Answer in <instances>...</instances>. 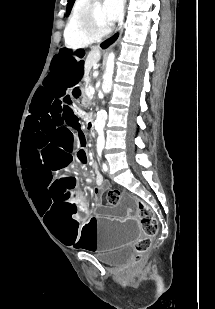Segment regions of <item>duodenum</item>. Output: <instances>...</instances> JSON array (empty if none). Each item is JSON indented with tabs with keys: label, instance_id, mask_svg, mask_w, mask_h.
Masks as SVG:
<instances>
[{
	"label": "duodenum",
	"instance_id": "duodenum-1",
	"mask_svg": "<svg viewBox=\"0 0 215 309\" xmlns=\"http://www.w3.org/2000/svg\"><path fill=\"white\" fill-rule=\"evenodd\" d=\"M89 79V78H88ZM89 130L94 134L96 132L95 118L91 115L86 116Z\"/></svg>",
	"mask_w": 215,
	"mask_h": 309
}]
</instances>
